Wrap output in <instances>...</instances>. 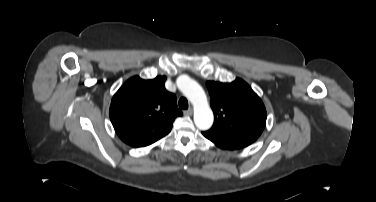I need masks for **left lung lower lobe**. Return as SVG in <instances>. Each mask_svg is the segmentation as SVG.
Wrapping results in <instances>:
<instances>
[{
    "mask_svg": "<svg viewBox=\"0 0 376 202\" xmlns=\"http://www.w3.org/2000/svg\"><path fill=\"white\" fill-rule=\"evenodd\" d=\"M202 134L208 140H210L215 145H217L218 147L223 148V149L234 150V149L244 148V147L250 145V143L245 142L241 139L231 137V136H228L226 134H223V133H220V132H217V131H213L211 129L208 130V131L202 132Z\"/></svg>",
    "mask_w": 376,
    "mask_h": 202,
    "instance_id": "left-lung-lower-lobe-1",
    "label": "left lung lower lobe"
}]
</instances>
